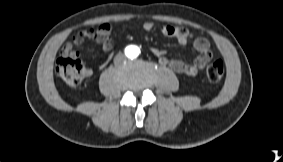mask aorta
Segmentation results:
<instances>
[{"mask_svg": "<svg viewBox=\"0 0 283 162\" xmlns=\"http://www.w3.org/2000/svg\"><path fill=\"white\" fill-rule=\"evenodd\" d=\"M126 51L130 58H136L139 55V48L137 46H129Z\"/></svg>", "mask_w": 283, "mask_h": 162, "instance_id": "aorta-1", "label": "aorta"}]
</instances>
